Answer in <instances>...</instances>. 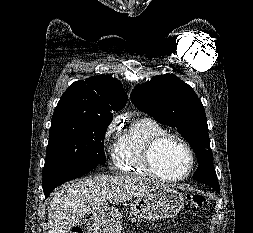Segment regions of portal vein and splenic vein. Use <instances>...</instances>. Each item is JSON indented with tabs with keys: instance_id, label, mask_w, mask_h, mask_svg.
Segmentation results:
<instances>
[{
	"instance_id": "1",
	"label": "portal vein and splenic vein",
	"mask_w": 253,
	"mask_h": 233,
	"mask_svg": "<svg viewBox=\"0 0 253 233\" xmlns=\"http://www.w3.org/2000/svg\"><path fill=\"white\" fill-rule=\"evenodd\" d=\"M106 199L111 201L113 199V195H107Z\"/></svg>"
}]
</instances>
